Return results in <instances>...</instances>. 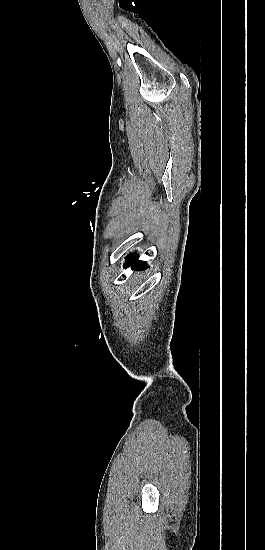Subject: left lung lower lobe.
<instances>
[{"label": "left lung lower lobe", "instance_id": "obj_1", "mask_svg": "<svg viewBox=\"0 0 265 550\" xmlns=\"http://www.w3.org/2000/svg\"><path fill=\"white\" fill-rule=\"evenodd\" d=\"M137 258H138V255H136V254H130V255L126 258V262H125L124 267L126 268V267L130 266L131 264H134V266H135L136 268H141V269L146 268V263L138 262V261H137Z\"/></svg>", "mask_w": 265, "mask_h": 550}]
</instances>
